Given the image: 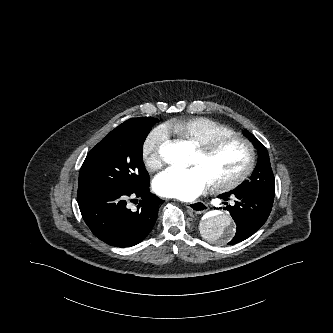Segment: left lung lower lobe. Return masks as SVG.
<instances>
[{"mask_svg":"<svg viewBox=\"0 0 333 333\" xmlns=\"http://www.w3.org/2000/svg\"><path fill=\"white\" fill-rule=\"evenodd\" d=\"M230 197L235 198V204L227 209L236 223V233L228 244H235L250 237L266 222L274 197L244 191H230L218 196L224 201Z\"/></svg>","mask_w":333,"mask_h":333,"instance_id":"1","label":"left lung lower lobe"}]
</instances>
